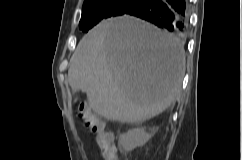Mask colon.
<instances>
[{
	"label": "colon",
	"mask_w": 242,
	"mask_h": 160,
	"mask_svg": "<svg viewBox=\"0 0 242 160\" xmlns=\"http://www.w3.org/2000/svg\"><path fill=\"white\" fill-rule=\"evenodd\" d=\"M78 116L94 134L95 144L100 149L103 159L115 160L113 135L106 129L105 123L85 103H79Z\"/></svg>",
	"instance_id": "5ec220e1"
}]
</instances>
